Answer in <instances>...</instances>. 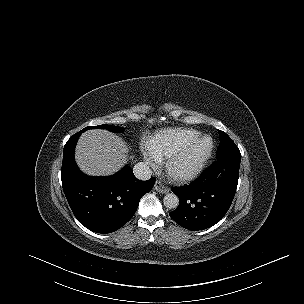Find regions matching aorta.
<instances>
[{"label":"aorta","mask_w":304,"mask_h":304,"mask_svg":"<svg viewBox=\"0 0 304 304\" xmlns=\"http://www.w3.org/2000/svg\"><path fill=\"white\" fill-rule=\"evenodd\" d=\"M163 203L168 209H176L179 205V198L174 193H168L164 196Z\"/></svg>","instance_id":"762f6f07"}]
</instances>
